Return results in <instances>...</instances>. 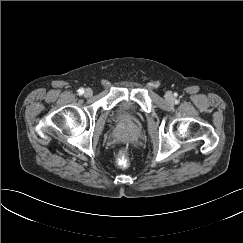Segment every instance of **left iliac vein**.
<instances>
[{
	"instance_id": "left-iliac-vein-1",
	"label": "left iliac vein",
	"mask_w": 243,
	"mask_h": 243,
	"mask_svg": "<svg viewBox=\"0 0 243 243\" xmlns=\"http://www.w3.org/2000/svg\"><path fill=\"white\" fill-rule=\"evenodd\" d=\"M166 100H167V101H171V100H172V96H171V95H167V96H166Z\"/></svg>"
}]
</instances>
